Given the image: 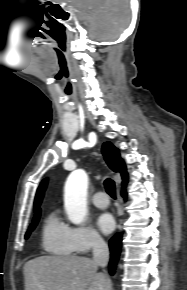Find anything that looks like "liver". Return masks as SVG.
Wrapping results in <instances>:
<instances>
[{"label":"liver","mask_w":187,"mask_h":290,"mask_svg":"<svg viewBox=\"0 0 187 290\" xmlns=\"http://www.w3.org/2000/svg\"><path fill=\"white\" fill-rule=\"evenodd\" d=\"M97 269L87 257H37L24 265L25 290H112L110 278Z\"/></svg>","instance_id":"1"}]
</instances>
